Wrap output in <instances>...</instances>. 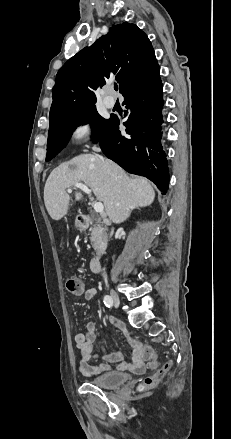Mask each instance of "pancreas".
<instances>
[{
	"instance_id": "obj_1",
	"label": "pancreas",
	"mask_w": 231,
	"mask_h": 439,
	"mask_svg": "<svg viewBox=\"0 0 231 439\" xmlns=\"http://www.w3.org/2000/svg\"><path fill=\"white\" fill-rule=\"evenodd\" d=\"M91 232V243L95 250H99L106 245L107 236L104 230L99 226L95 225L90 229Z\"/></svg>"
}]
</instances>
